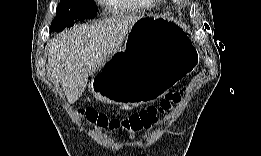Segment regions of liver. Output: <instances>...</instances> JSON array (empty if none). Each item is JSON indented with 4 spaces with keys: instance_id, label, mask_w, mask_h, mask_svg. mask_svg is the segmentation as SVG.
I'll list each match as a JSON object with an SVG mask.
<instances>
[{
    "instance_id": "6515ba94",
    "label": "liver",
    "mask_w": 261,
    "mask_h": 156,
    "mask_svg": "<svg viewBox=\"0 0 261 156\" xmlns=\"http://www.w3.org/2000/svg\"><path fill=\"white\" fill-rule=\"evenodd\" d=\"M139 19L136 15H121L78 25L48 42V69L62 85L70 104L82 95L88 77L117 53Z\"/></svg>"
}]
</instances>
